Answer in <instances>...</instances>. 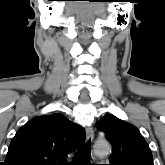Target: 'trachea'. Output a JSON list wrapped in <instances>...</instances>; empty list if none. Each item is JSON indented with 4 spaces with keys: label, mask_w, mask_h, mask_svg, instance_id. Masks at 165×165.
I'll return each mask as SVG.
<instances>
[{
    "label": "trachea",
    "mask_w": 165,
    "mask_h": 165,
    "mask_svg": "<svg viewBox=\"0 0 165 165\" xmlns=\"http://www.w3.org/2000/svg\"><path fill=\"white\" fill-rule=\"evenodd\" d=\"M90 151H91V142L89 141L78 148V151L75 154V157L73 158L72 162L68 164L89 165Z\"/></svg>",
    "instance_id": "obj_1"
}]
</instances>
